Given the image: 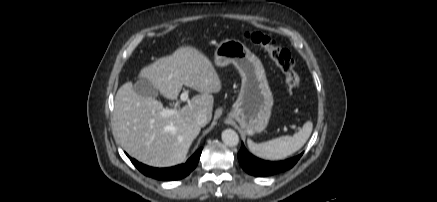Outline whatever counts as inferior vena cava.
<instances>
[{"instance_id":"1","label":"inferior vena cava","mask_w":437,"mask_h":202,"mask_svg":"<svg viewBox=\"0 0 437 202\" xmlns=\"http://www.w3.org/2000/svg\"><path fill=\"white\" fill-rule=\"evenodd\" d=\"M196 122L199 126L204 127L209 122V119L206 114L200 113L196 117Z\"/></svg>"}]
</instances>
